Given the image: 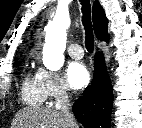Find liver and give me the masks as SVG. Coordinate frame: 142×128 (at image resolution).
I'll list each match as a JSON object with an SVG mask.
<instances>
[{
	"mask_svg": "<svg viewBox=\"0 0 142 128\" xmlns=\"http://www.w3.org/2000/svg\"><path fill=\"white\" fill-rule=\"evenodd\" d=\"M12 128H70L60 112L48 107H26L15 116Z\"/></svg>",
	"mask_w": 142,
	"mask_h": 128,
	"instance_id": "1",
	"label": "liver"
}]
</instances>
